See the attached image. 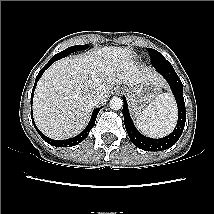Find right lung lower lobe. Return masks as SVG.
I'll return each instance as SVG.
<instances>
[{
	"label": "right lung lower lobe",
	"instance_id": "1",
	"mask_svg": "<svg viewBox=\"0 0 214 214\" xmlns=\"http://www.w3.org/2000/svg\"><path fill=\"white\" fill-rule=\"evenodd\" d=\"M56 60L54 59H50V61L40 70V72L38 73L36 80H35V84L32 90V94H31V105H32V100H33V94H34V90L35 87L37 85L38 80L40 79V77L42 76V74L45 72L46 69H48V67L51 66V64H53ZM100 111V108H97L93 111L91 120L89 122V124L87 125V127L84 129V131H82L79 135L70 138V139H66V140H54L51 139L47 136H45L39 129H37V127L35 126L36 131L38 132V134L43 138V140H45L47 143H49L52 146H57V147H71V146H75L77 144H79L80 142H82L89 134L90 130L93 128L96 117L98 112ZM31 118L33 119V115H32V110H31ZM32 122H34L32 120Z\"/></svg>",
	"mask_w": 214,
	"mask_h": 214
}]
</instances>
